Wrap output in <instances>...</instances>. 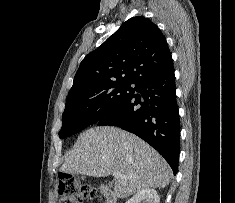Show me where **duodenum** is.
<instances>
[{"instance_id": "410a0bca", "label": "duodenum", "mask_w": 235, "mask_h": 203, "mask_svg": "<svg viewBox=\"0 0 235 203\" xmlns=\"http://www.w3.org/2000/svg\"><path fill=\"white\" fill-rule=\"evenodd\" d=\"M101 192L104 198V203H117V197L113 190L108 186H101Z\"/></svg>"}]
</instances>
